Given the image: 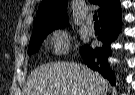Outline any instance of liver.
Listing matches in <instances>:
<instances>
[{
  "instance_id": "6515ba94",
  "label": "liver",
  "mask_w": 135,
  "mask_h": 95,
  "mask_svg": "<svg viewBox=\"0 0 135 95\" xmlns=\"http://www.w3.org/2000/svg\"><path fill=\"white\" fill-rule=\"evenodd\" d=\"M108 82L98 72L75 63H51L28 77L25 95H106Z\"/></svg>"
}]
</instances>
